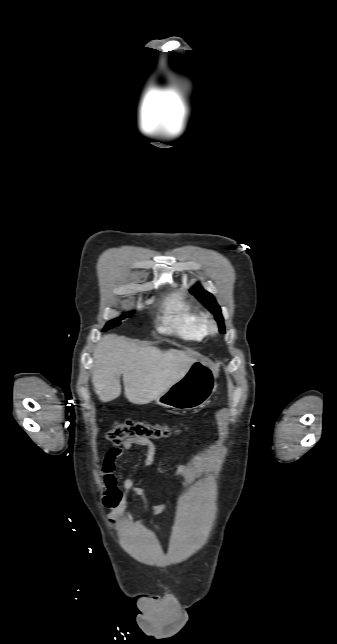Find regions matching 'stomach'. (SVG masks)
<instances>
[{"label":"stomach","mask_w":337,"mask_h":644,"mask_svg":"<svg viewBox=\"0 0 337 644\" xmlns=\"http://www.w3.org/2000/svg\"><path fill=\"white\" fill-rule=\"evenodd\" d=\"M215 389V374L207 359L193 362L186 375L155 399L156 403L174 410L201 407Z\"/></svg>","instance_id":"obj_1"}]
</instances>
